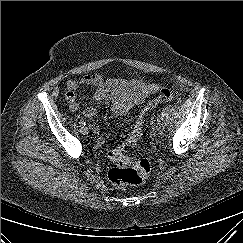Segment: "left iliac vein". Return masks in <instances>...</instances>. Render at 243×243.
<instances>
[{
    "label": "left iliac vein",
    "mask_w": 243,
    "mask_h": 243,
    "mask_svg": "<svg viewBox=\"0 0 243 243\" xmlns=\"http://www.w3.org/2000/svg\"><path fill=\"white\" fill-rule=\"evenodd\" d=\"M164 129L163 125L161 123H158L156 126V130L161 132Z\"/></svg>",
    "instance_id": "1"
}]
</instances>
